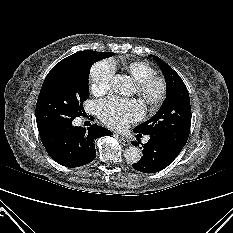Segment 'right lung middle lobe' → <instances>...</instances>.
Here are the masks:
<instances>
[{"mask_svg":"<svg viewBox=\"0 0 233 233\" xmlns=\"http://www.w3.org/2000/svg\"><path fill=\"white\" fill-rule=\"evenodd\" d=\"M112 52L80 51L57 63L48 73L36 105L39 132L65 128L83 115V102L89 98L91 66Z\"/></svg>","mask_w":233,"mask_h":233,"instance_id":"dd1d6c3e","label":"right lung middle lobe"}]
</instances>
